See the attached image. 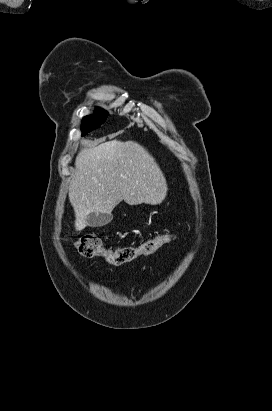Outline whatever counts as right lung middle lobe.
I'll return each instance as SVG.
<instances>
[{"label": "right lung middle lobe", "instance_id": "1", "mask_svg": "<svg viewBox=\"0 0 272 411\" xmlns=\"http://www.w3.org/2000/svg\"><path fill=\"white\" fill-rule=\"evenodd\" d=\"M107 115L108 112L102 109H97L95 111V114L84 117L81 124L83 135L87 134L93 129L98 128L105 121Z\"/></svg>", "mask_w": 272, "mask_h": 411}]
</instances>
